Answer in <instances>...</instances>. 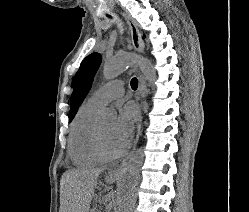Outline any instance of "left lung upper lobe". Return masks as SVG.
Instances as JSON below:
<instances>
[{"label": "left lung upper lobe", "mask_w": 249, "mask_h": 212, "mask_svg": "<svg viewBox=\"0 0 249 212\" xmlns=\"http://www.w3.org/2000/svg\"><path fill=\"white\" fill-rule=\"evenodd\" d=\"M101 55L92 53L81 63L74 79V88L70 100L69 122L74 118L79 106L88 94L96 71L101 64Z\"/></svg>", "instance_id": "1"}]
</instances>
